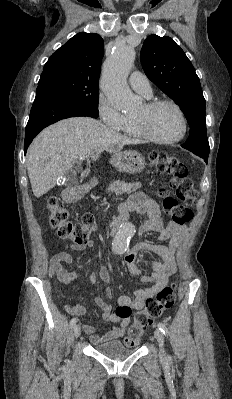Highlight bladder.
Wrapping results in <instances>:
<instances>
[{"label":"bladder","instance_id":"31cf9c89","mask_svg":"<svg viewBox=\"0 0 232 399\" xmlns=\"http://www.w3.org/2000/svg\"><path fill=\"white\" fill-rule=\"evenodd\" d=\"M99 354L111 359H123L134 353V349L125 346L119 340H112L94 347Z\"/></svg>","mask_w":232,"mask_h":399}]
</instances>
